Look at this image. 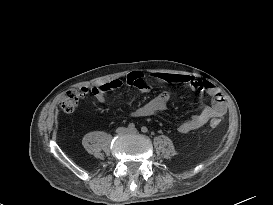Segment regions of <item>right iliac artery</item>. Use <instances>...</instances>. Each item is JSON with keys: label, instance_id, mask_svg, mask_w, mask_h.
I'll use <instances>...</instances> for the list:
<instances>
[{"label": "right iliac artery", "instance_id": "1", "mask_svg": "<svg viewBox=\"0 0 273 205\" xmlns=\"http://www.w3.org/2000/svg\"><path fill=\"white\" fill-rule=\"evenodd\" d=\"M134 128H135V124L134 123H129L128 129H134Z\"/></svg>", "mask_w": 273, "mask_h": 205}]
</instances>
